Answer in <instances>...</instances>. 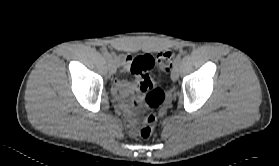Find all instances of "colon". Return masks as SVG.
Returning a JSON list of instances; mask_svg holds the SVG:
<instances>
[{
    "label": "colon",
    "instance_id": "obj_1",
    "mask_svg": "<svg viewBox=\"0 0 279 166\" xmlns=\"http://www.w3.org/2000/svg\"><path fill=\"white\" fill-rule=\"evenodd\" d=\"M176 59V54L172 50L164 51L156 58L150 55H140L133 59L130 71L135 77L137 88L143 93L142 100L144 104L151 110L158 108L165 100V92L163 87L156 84L151 75L150 70L156 66L164 73H168ZM156 124V115L148 114L142 122L139 129L141 138H149L154 131Z\"/></svg>",
    "mask_w": 279,
    "mask_h": 166
}]
</instances>
